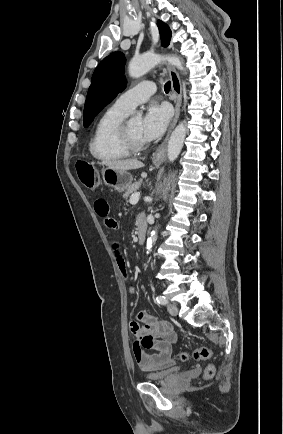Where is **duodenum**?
<instances>
[{"label":"duodenum","instance_id":"410a0bca","mask_svg":"<svg viewBox=\"0 0 283 434\" xmlns=\"http://www.w3.org/2000/svg\"><path fill=\"white\" fill-rule=\"evenodd\" d=\"M147 225L145 220L137 221V239L139 244H143L146 239Z\"/></svg>","mask_w":283,"mask_h":434}]
</instances>
